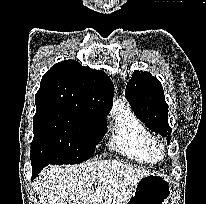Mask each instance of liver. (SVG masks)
<instances>
[{
    "label": "liver",
    "instance_id": "obj_1",
    "mask_svg": "<svg viewBox=\"0 0 206 204\" xmlns=\"http://www.w3.org/2000/svg\"><path fill=\"white\" fill-rule=\"evenodd\" d=\"M148 174L132 164L106 159L68 167L50 166L32 185L39 204H127L138 181Z\"/></svg>",
    "mask_w": 206,
    "mask_h": 204
}]
</instances>
